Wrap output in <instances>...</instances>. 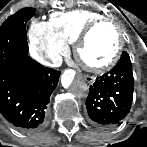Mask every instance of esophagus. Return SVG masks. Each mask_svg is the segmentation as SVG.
<instances>
[{"instance_id": "34e87169", "label": "esophagus", "mask_w": 147, "mask_h": 147, "mask_svg": "<svg viewBox=\"0 0 147 147\" xmlns=\"http://www.w3.org/2000/svg\"><path fill=\"white\" fill-rule=\"evenodd\" d=\"M93 81V78L91 77V78H89V82H92Z\"/></svg>"}]
</instances>
